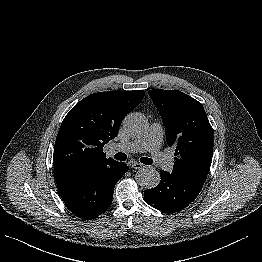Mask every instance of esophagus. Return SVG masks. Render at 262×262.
Listing matches in <instances>:
<instances>
[{
	"instance_id": "1",
	"label": "esophagus",
	"mask_w": 262,
	"mask_h": 262,
	"mask_svg": "<svg viewBox=\"0 0 262 262\" xmlns=\"http://www.w3.org/2000/svg\"><path fill=\"white\" fill-rule=\"evenodd\" d=\"M132 168L134 169H137V170H140V169H143V168H146L145 165L141 164V163H138V162H134L132 163Z\"/></svg>"
}]
</instances>
